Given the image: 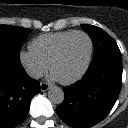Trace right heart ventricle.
<instances>
[{
  "label": "right heart ventricle",
  "instance_id": "obj_1",
  "mask_svg": "<svg viewBox=\"0 0 128 128\" xmlns=\"http://www.w3.org/2000/svg\"><path fill=\"white\" fill-rule=\"evenodd\" d=\"M72 32H53L40 35L30 43V50L46 65H49L61 42Z\"/></svg>",
  "mask_w": 128,
  "mask_h": 128
}]
</instances>
